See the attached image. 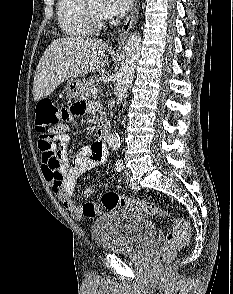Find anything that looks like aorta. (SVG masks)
Listing matches in <instances>:
<instances>
[{"instance_id": "obj_1", "label": "aorta", "mask_w": 233, "mask_h": 294, "mask_svg": "<svg viewBox=\"0 0 233 294\" xmlns=\"http://www.w3.org/2000/svg\"><path fill=\"white\" fill-rule=\"evenodd\" d=\"M141 35L138 32L131 33L124 46L119 71L117 72L116 96L118 102H122L134 79L136 65L140 56ZM108 144L113 150L121 146L118 133H112L108 137Z\"/></svg>"}]
</instances>
